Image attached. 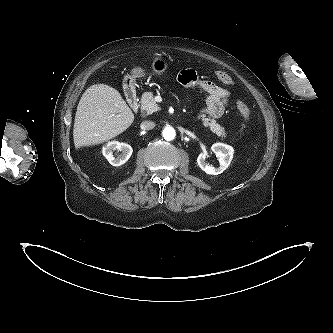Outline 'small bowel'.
Here are the masks:
<instances>
[{
  "label": "small bowel",
  "mask_w": 333,
  "mask_h": 333,
  "mask_svg": "<svg viewBox=\"0 0 333 333\" xmlns=\"http://www.w3.org/2000/svg\"><path fill=\"white\" fill-rule=\"evenodd\" d=\"M177 80L187 87H196L206 94V107L201 115L219 118L223 115L230 99V92L215 83L203 79L195 70L185 69L179 72Z\"/></svg>",
  "instance_id": "1"
}]
</instances>
